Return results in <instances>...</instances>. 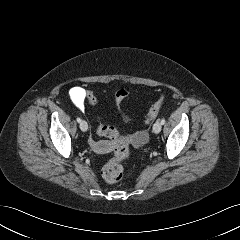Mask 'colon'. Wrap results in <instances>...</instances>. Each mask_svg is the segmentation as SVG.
<instances>
[{
	"label": "colon",
	"mask_w": 240,
	"mask_h": 240,
	"mask_svg": "<svg viewBox=\"0 0 240 240\" xmlns=\"http://www.w3.org/2000/svg\"><path fill=\"white\" fill-rule=\"evenodd\" d=\"M128 94L129 93L125 88H120L116 91L115 104L117 108H120L123 101L128 97ZM86 99L90 105H95L97 103V97L92 90L86 91ZM164 101L165 95L161 93L150 106L145 117L146 122L153 120L158 115ZM97 130L100 135L114 141V155L113 158L102 168V177L108 183H116L120 181L124 175L123 162L129 155V141L126 138L121 137L117 129L113 126L99 124ZM133 141L136 144H140L143 142V138L134 137Z\"/></svg>",
	"instance_id": "colon-1"
}]
</instances>
